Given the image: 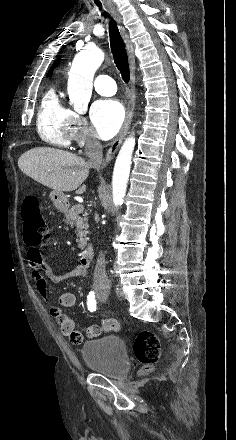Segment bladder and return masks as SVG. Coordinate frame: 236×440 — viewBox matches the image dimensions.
Wrapping results in <instances>:
<instances>
[{"instance_id": "bladder-1", "label": "bladder", "mask_w": 236, "mask_h": 440, "mask_svg": "<svg viewBox=\"0 0 236 440\" xmlns=\"http://www.w3.org/2000/svg\"><path fill=\"white\" fill-rule=\"evenodd\" d=\"M82 358L90 370L116 378L127 373L129 355L120 337L104 336L87 341L81 348Z\"/></svg>"}]
</instances>
